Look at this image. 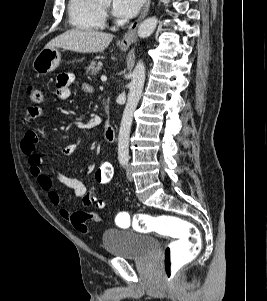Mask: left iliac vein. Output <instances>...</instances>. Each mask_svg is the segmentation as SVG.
Here are the masks:
<instances>
[{
	"label": "left iliac vein",
	"instance_id": "obj_1",
	"mask_svg": "<svg viewBox=\"0 0 267 301\" xmlns=\"http://www.w3.org/2000/svg\"><path fill=\"white\" fill-rule=\"evenodd\" d=\"M127 179L131 182L133 181L132 171L130 168L127 170Z\"/></svg>",
	"mask_w": 267,
	"mask_h": 301
}]
</instances>
